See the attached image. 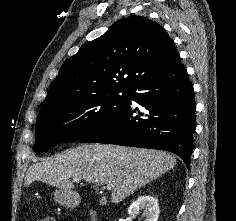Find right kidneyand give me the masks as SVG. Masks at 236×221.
Listing matches in <instances>:
<instances>
[{
	"mask_svg": "<svg viewBox=\"0 0 236 221\" xmlns=\"http://www.w3.org/2000/svg\"><path fill=\"white\" fill-rule=\"evenodd\" d=\"M140 211L146 217L145 221H157L159 217L157 199L149 195H143L135 200L128 208L129 215L138 214Z\"/></svg>",
	"mask_w": 236,
	"mask_h": 221,
	"instance_id": "obj_1",
	"label": "right kidney"
}]
</instances>
